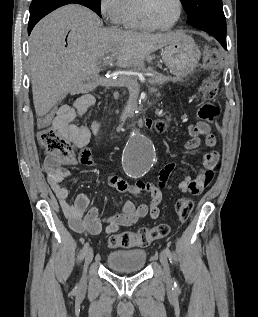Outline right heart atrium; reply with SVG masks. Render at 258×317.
<instances>
[{"label": "right heart atrium", "instance_id": "1", "mask_svg": "<svg viewBox=\"0 0 258 317\" xmlns=\"http://www.w3.org/2000/svg\"><path fill=\"white\" fill-rule=\"evenodd\" d=\"M99 10L107 26L123 25L124 0H101Z\"/></svg>", "mask_w": 258, "mask_h": 317}]
</instances>
